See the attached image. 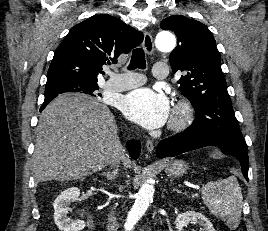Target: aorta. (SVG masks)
<instances>
[{"instance_id": "aorta-1", "label": "aorta", "mask_w": 268, "mask_h": 231, "mask_svg": "<svg viewBox=\"0 0 268 231\" xmlns=\"http://www.w3.org/2000/svg\"><path fill=\"white\" fill-rule=\"evenodd\" d=\"M156 46L162 52H169L176 46L175 36L168 32H161L156 37ZM154 186L151 180H147L136 194L135 203L127 215L124 224L126 231H131L134 225L146 212L150 202L153 200Z\"/></svg>"}]
</instances>
